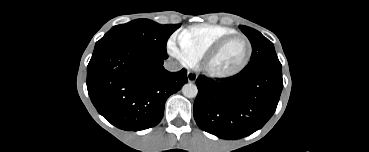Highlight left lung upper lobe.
Instances as JSON below:
<instances>
[{
	"label": "left lung upper lobe",
	"mask_w": 369,
	"mask_h": 152,
	"mask_svg": "<svg viewBox=\"0 0 369 152\" xmlns=\"http://www.w3.org/2000/svg\"><path fill=\"white\" fill-rule=\"evenodd\" d=\"M239 28L248 37L252 45L250 62L243 70L263 66L281 67L272 42L253 28L243 25H240Z\"/></svg>",
	"instance_id": "1"
}]
</instances>
